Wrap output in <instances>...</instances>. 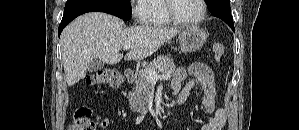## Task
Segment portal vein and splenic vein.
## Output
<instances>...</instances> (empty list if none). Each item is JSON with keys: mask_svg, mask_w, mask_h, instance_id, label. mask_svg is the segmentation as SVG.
I'll use <instances>...</instances> for the list:
<instances>
[{"mask_svg": "<svg viewBox=\"0 0 299 130\" xmlns=\"http://www.w3.org/2000/svg\"><path fill=\"white\" fill-rule=\"evenodd\" d=\"M130 48H132V46L130 45H126L123 47L124 50H129ZM144 73L145 76L150 80V82H157L158 80H169L171 78V75L168 73L159 75L157 72L149 69H146Z\"/></svg>", "mask_w": 299, "mask_h": 130, "instance_id": "portal-vein-and-splenic-vein-1", "label": "portal vein and splenic vein"}]
</instances>
